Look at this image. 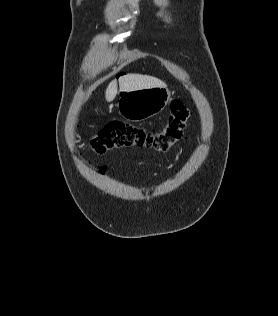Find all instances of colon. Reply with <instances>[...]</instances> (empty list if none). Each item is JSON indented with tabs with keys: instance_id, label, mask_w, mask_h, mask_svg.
<instances>
[{
	"instance_id": "colon-1",
	"label": "colon",
	"mask_w": 278,
	"mask_h": 316,
	"mask_svg": "<svg viewBox=\"0 0 278 316\" xmlns=\"http://www.w3.org/2000/svg\"><path fill=\"white\" fill-rule=\"evenodd\" d=\"M190 111L180 100H174L165 126L159 131L110 120L103 124L91 139V148L96 154L122 147H136L157 152L170 150L184 137V128Z\"/></svg>"
}]
</instances>
